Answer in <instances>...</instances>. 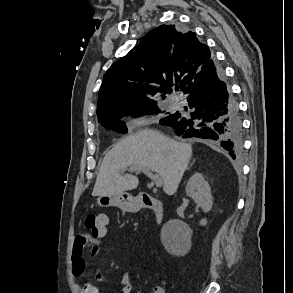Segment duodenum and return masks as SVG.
<instances>
[{
    "label": "duodenum",
    "instance_id": "duodenum-1",
    "mask_svg": "<svg viewBox=\"0 0 293 293\" xmlns=\"http://www.w3.org/2000/svg\"><path fill=\"white\" fill-rule=\"evenodd\" d=\"M137 206L140 209H151L153 211L154 219L156 223H161L164 218V208L160 200L152 197L150 194H142L137 199Z\"/></svg>",
    "mask_w": 293,
    "mask_h": 293
}]
</instances>
